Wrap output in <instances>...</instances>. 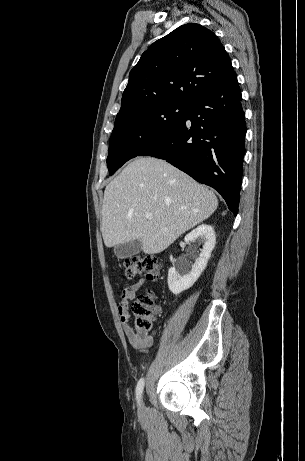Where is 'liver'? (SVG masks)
Here are the masks:
<instances>
[{"label": "liver", "mask_w": 305, "mask_h": 461, "mask_svg": "<svg viewBox=\"0 0 305 461\" xmlns=\"http://www.w3.org/2000/svg\"><path fill=\"white\" fill-rule=\"evenodd\" d=\"M217 206L215 194L184 172L157 158L138 157L105 188L104 244L111 248L140 239L144 253H160Z\"/></svg>", "instance_id": "1"}]
</instances>
